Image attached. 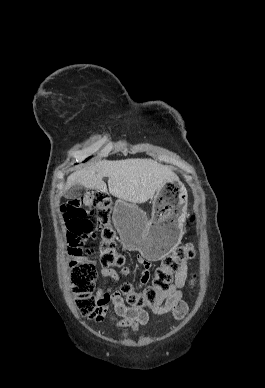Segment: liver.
Wrapping results in <instances>:
<instances>
[{
  "instance_id": "1",
  "label": "liver",
  "mask_w": 265,
  "mask_h": 388,
  "mask_svg": "<svg viewBox=\"0 0 265 388\" xmlns=\"http://www.w3.org/2000/svg\"><path fill=\"white\" fill-rule=\"evenodd\" d=\"M104 176L109 178L108 188L112 196L133 204L148 202L156 192H161L166 182H178V176L170 168L155 160H101L73 172L68 176L65 188L69 190L75 184H81L90 190L107 192Z\"/></svg>"
}]
</instances>
